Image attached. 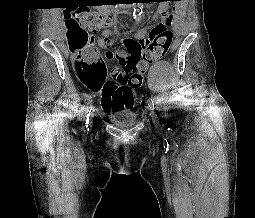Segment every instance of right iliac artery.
Segmentation results:
<instances>
[{"label":"right iliac artery","mask_w":255,"mask_h":218,"mask_svg":"<svg viewBox=\"0 0 255 218\" xmlns=\"http://www.w3.org/2000/svg\"><path fill=\"white\" fill-rule=\"evenodd\" d=\"M91 100H88L86 106H85V118H84V124H83V129L86 130L88 128V124H89V116H90V112H91Z\"/></svg>","instance_id":"right-iliac-artery-1"}]
</instances>
